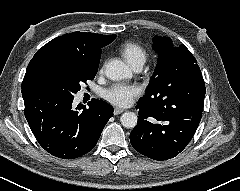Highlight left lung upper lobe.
<instances>
[{"instance_id": "obj_1", "label": "left lung upper lobe", "mask_w": 240, "mask_h": 191, "mask_svg": "<svg viewBox=\"0 0 240 191\" xmlns=\"http://www.w3.org/2000/svg\"><path fill=\"white\" fill-rule=\"evenodd\" d=\"M152 47L158 54V63L140 100L152 102L169 94L177 95L188 81L202 76L196 59L185 45L174 46L169 37L155 36Z\"/></svg>"}]
</instances>
